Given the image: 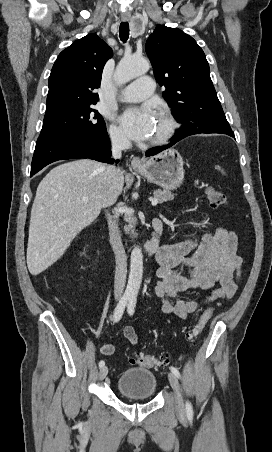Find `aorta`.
<instances>
[{
    "label": "aorta",
    "instance_id": "762f6f07",
    "mask_svg": "<svg viewBox=\"0 0 272 452\" xmlns=\"http://www.w3.org/2000/svg\"><path fill=\"white\" fill-rule=\"evenodd\" d=\"M150 68L149 62L144 58H137L126 55L120 61L116 73L115 80L122 84L131 79L145 74ZM143 274V254L139 246H135L130 257V272L126 293L136 296L139 292Z\"/></svg>",
    "mask_w": 272,
    "mask_h": 452
}]
</instances>
